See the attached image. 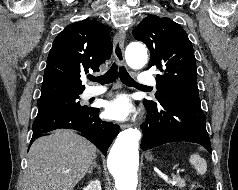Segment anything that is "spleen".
<instances>
[{"instance_id": "1", "label": "spleen", "mask_w": 238, "mask_h": 190, "mask_svg": "<svg viewBox=\"0 0 238 190\" xmlns=\"http://www.w3.org/2000/svg\"><path fill=\"white\" fill-rule=\"evenodd\" d=\"M190 162L194 165L198 174L203 175L207 170V163L205 159L201 158L199 154H192L190 156Z\"/></svg>"}]
</instances>
